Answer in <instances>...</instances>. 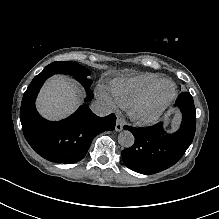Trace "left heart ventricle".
<instances>
[{"label": "left heart ventricle", "mask_w": 219, "mask_h": 219, "mask_svg": "<svg viewBox=\"0 0 219 219\" xmlns=\"http://www.w3.org/2000/svg\"><path fill=\"white\" fill-rule=\"evenodd\" d=\"M171 93V86L168 83H162L155 91L152 102L154 104L164 101Z\"/></svg>", "instance_id": "left-heart-ventricle-1"}]
</instances>
